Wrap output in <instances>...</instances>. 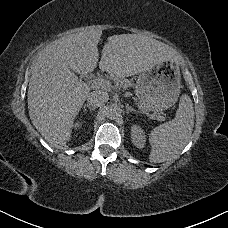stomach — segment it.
I'll list each match as a JSON object with an SVG mask.
<instances>
[{
    "label": "stomach",
    "mask_w": 228,
    "mask_h": 228,
    "mask_svg": "<svg viewBox=\"0 0 228 228\" xmlns=\"http://www.w3.org/2000/svg\"><path fill=\"white\" fill-rule=\"evenodd\" d=\"M181 74L176 61L162 62L138 75L135 92L147 111L160 112L172 107L181 92Z\"/></svg>",
    "instance_id": "1"
}]
</instances>
